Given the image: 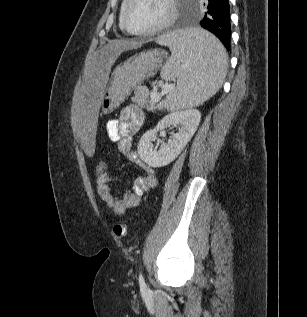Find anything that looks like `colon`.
Wrapping results in <instances>:
<instances>
[{
    "instance_id": "colon-1",
    "label": "colon",
    "mask_w": 307,
    "mask_h": 317,
    "mask_svg": "<svg viewBox=\"0 0 307 317\" xmlns=\"http://www.w3.org/2000/svg\"><path fill=\"white\" fill-rule=\"evenodd\" d=\"M95 172L98 176L107 172V164L103 160H99L95 165ZM114 235L121 239L127 235V225L125 223H117L113 227Z\"/></svg>"
}]
</instances>
